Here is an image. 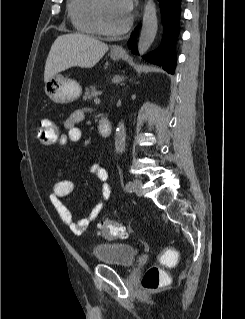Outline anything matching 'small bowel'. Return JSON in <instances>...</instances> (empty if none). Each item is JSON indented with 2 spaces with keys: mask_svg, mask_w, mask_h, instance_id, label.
<instances>
[{
  "mask_svg": "<svg viewBox=\"0 0 245 319\" xmlns=\"http://www.w3.org/2000/svg\"><path fill=\"white\" fill-rule=\"evenodd\" d=\"M85 115V109H78L71 113V115L65 120L64 132L59 138L60 146L78 143L82 140V131L77 125L84 120ZM91 172L101 183V197L92 207L89 214L83 219L75 221L69 208L61 201L62 197L69 195L74 190V182L72 180L65 179L57 181L53 185L50 195L51 203L58 212L61 220L68 225L71 231L76 235H81L88 231L91 224L105 209L112 197L108 171L100 165H93L91 167Z\"/></svg>",
  "mask_w": 245,
  "mask_h": 319,
  "instance_id": "obj_1",
  "label": "small bowel"
}]
</instances>
